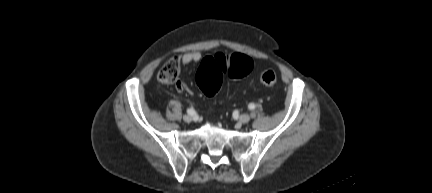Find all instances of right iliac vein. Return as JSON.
Masks as SVG:
<instances>
[{"mask_svg": "<svg viewBox=\"0 0 432 193\" xmlns=\"http://www.w3.org/2000/svg\"><path fill=\"white\" fill-rule=\"evenodd\" d=\"M183 120L187 123L191 122L193 118L190 115H184Z\"/></svg>", "mask_w": 432, "mask_h": 193, "instance_id": "1", "label": "right iliac vein"}]
</instances>
